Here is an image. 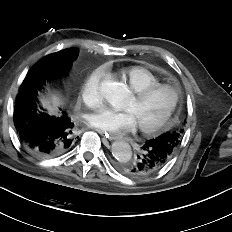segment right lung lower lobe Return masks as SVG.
<instances>
[{"instance_id": "right-lung-lower-lobe-1", "label": "right lung lower lobe", "mask_w": 232, "mask_h": 232, "mask_svg": "<svg viewBox=\"0 0 232 232\" xmlns=\"http://www.w3.org/2000/svg\"><path fill=\"white\" fill-rule=\"evenodd\" d=\"M37 91L29 87L17 96L14 125L22 146L31 154L55 157L68 151L73 144L74 123L66 112L48 115L37 109Z\"/></svg>"}]
</instances>
